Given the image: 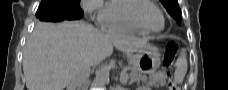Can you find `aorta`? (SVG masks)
Instances as JSON below:
<instances>
[{"mask_svg": "<svg viewBox=\"0 0 228 90\" xmlns=\"http://www.w3.org/2000/svg\"><path fill=\"white\" fill-rule=\"evenodd\" d=\"M110 69L107 66L101 67L96 73L95 83L98 87L104 86L109 81Z\"/></svg>", "mask_w": 228, "mask_h": 90, "instance_id": "obj_1", "label": "aorta"}]
</instances>
